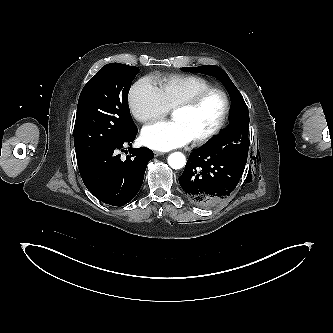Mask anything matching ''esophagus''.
I'll list each match as a JSON object with an SVG mask.
<instances>
[{
  "instance_id": "obj_1",
  "label": "esophagus",
  "mask_w": 333,
  "mask_h": 333,
  "mask_svg": "<svg viewBox=\"0 0 333 333\" xmlns=\"http://www.w3.org/2000/svg\"><path fill=\"white\" fill-rule=\"evenodd\" d=\"M163 154H164V153H162V152L154 151V156H155V157L161 156V155H163Z\"/></svg>"
}]
</instances>
